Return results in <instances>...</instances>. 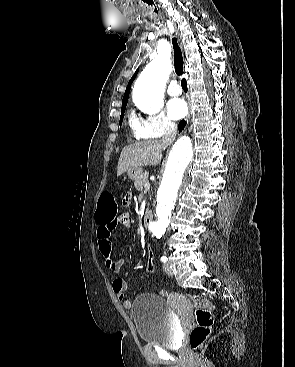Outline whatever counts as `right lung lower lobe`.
<instances>
[{"mask_svg":"<svg viewBox=\"0 0 295 367\" xmlns=\"http://www.w3.org/2000/svg\"><path fill=\"white\" fill-rule=\"evenodd\" d=\"M185 121L184 120H182V121H180V123H179V130L181 131V130H183V128L185 127Z\"/></svg>","mask_w":295,"mask_h":367,"instance_id":"1","label":"right lung lower lobe"}]
</instances>
